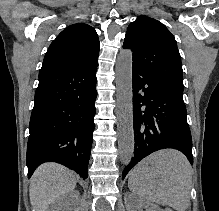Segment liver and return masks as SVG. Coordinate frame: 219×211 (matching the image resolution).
<instances>
[{
  "label": "liver",
  "mask_w": 219,
  "mask_h": 211,
  "mask_svg": "<svg viewBox=\"0 0 219 211\" xmlns=\"http://www.w3.org/2000/svg\"><path fill=\"white\" fill-rule=\"evenodd\" d=\"M77 175L61 163H42L35 169L29 185L30 203L36 211H47L58 197L74 191Z\"/></svg>",
  "instance_id": "obj_1"
}]
</instances>
